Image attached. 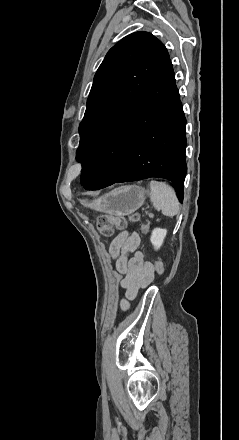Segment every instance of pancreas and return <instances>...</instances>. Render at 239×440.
Here are the masks:
<instances>
[{
  "label": "pancreas",
  "mask_w": 239,
  "mask_h": 440,
  "mask_svg": "<svg viewBox=\"0 0 239 440\" xmlns=\"http://www.w3.org/2000/svg\"><path fill=\"white\" fill-rule=\"evenodd\" d=\"M146 214H147V212H146ZM149 218H153V214H149Z\"/></svg>",
  "instance_id": "cf45deb5"
}]
</instances>
